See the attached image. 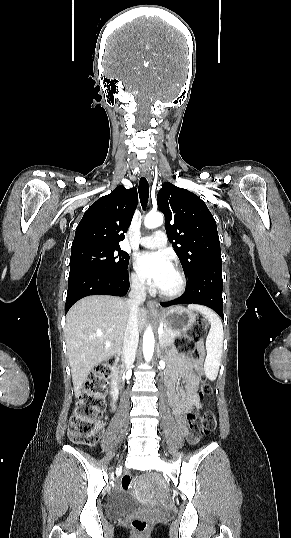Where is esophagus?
<instances>
[{
  "mask_svg": "<svg viewBox=\"0 0 291 538\" xmlns=\"http://www.w3.org/2000/svg\"><path fill=\"white\" fill-rule=\"evenodd\" d=\"M141 172H142V175H143L147 180H149V178H150V173H149V169H148V167H147V166H143ZM147 306H148V308H149L150 310H152V311H156V310H157V307H158L157 303H156L155 301H153V300H150V299L147 301Z\"/></svg>",
  "mask_w": 291,
  "mask_h": 538,
  "instance_id": "obj_1",
  "label": "esophagus"
}]
</instances>
